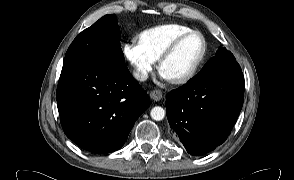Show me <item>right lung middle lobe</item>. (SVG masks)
<instances>
[{"label":"right lung middle lobe","mask_w":294,"mask_h":180,"mask_svg":"<svg viewBox=\"0 0 294 180\" xmlns=\"http://www.w3.org/2000/svg\"><path fill=\"white\" fill-rule=\"evenodd\" d=\"M86 61H112L124 64L120 28L113 15L100 18L82 31L68 48L62 70Z\"/></svg>","instance_id":"1"}]
</instances>
